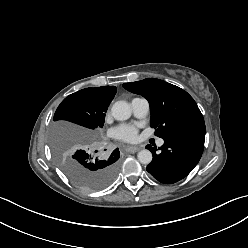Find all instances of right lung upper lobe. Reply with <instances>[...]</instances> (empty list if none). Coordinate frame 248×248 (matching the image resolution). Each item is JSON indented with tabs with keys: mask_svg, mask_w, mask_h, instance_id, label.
Returning <instances> with one entry per match:
<instances>
[{
	"mask_svg": "<svg viewBox=\"0 0 248 248\" xmlns=\"http://www.w3.org/2000/svg\"><path fill=\"white\" fill-rule=\"evenodd\" d=\"M89 95L95 96L97 98L112 101L116 94V87L115 86H102L97 88H86L84 89Z\"/></svg>",
	"mask_w": 248,
	"mask_h": 248,
	"instance_id": "right-lung-upper-lobe-1",
	"label": "right lung upper lobe"
}]
</instances>
